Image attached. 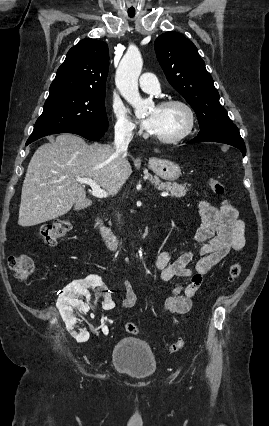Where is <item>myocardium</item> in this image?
I'll return each mask as SVG.
<instances>
[{"label": "myocardium", "instance_id": "obj_1", "mask_svg": "<svg viewBox=\"0 0 269 426\" xmlns=\"http://www.w3.org/2000/svg\"><path fill=\"white\" fill-rule=\"evenodd\" d=\"M179 106L183 108L187 114L188 122L185 129L178 135L170 138L155 136L149 133V136L155 141L162 144H176L187 138L193 131L196 124V116L192 107L185 101L180 99H167L162 101L158 107Z\"/></svg>", "mask_w": 269, "mask_h": 426}]
</instances>
